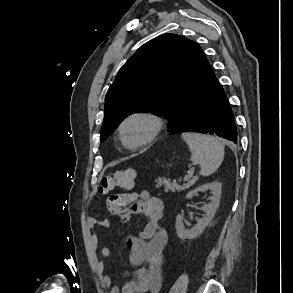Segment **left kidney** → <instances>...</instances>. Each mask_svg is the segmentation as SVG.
Here are the masks:
<instances>
[{
	"mask_svg": "<svg viewBox=\"0 0 293 293\" xmlns=\"http://www.w3.org/2000/svg\"><path fill=\"white\" fill-rule=\"evenodd\" d=\"M221 188L222 184L220 182H212L207 183L201 186H198L196 189L190 191L186 195V199L192 198L194 195H196L198 192L203 191H211L212 198L211 202L208 204H205L202 207V210L204 211L205 215L202 219H198L197 224L192 227L191 229H187L184 226L183 223V216L180 214L176 217V233L180 239H194L198 235H200L203 230L209 225L212 218L214 217V214L219 206L220 198H221Z\"/></svg>",
	"mask_w": 293,
	"mask_h": 293,
	"instance_id": "left-kidney-1",
	"label": "left kidney"
}]
</instances>
